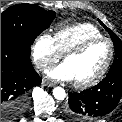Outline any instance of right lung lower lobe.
I'll return each mask as SVG.
<instances>
[{
  "instance_id": "98d812e1",
  "label": "right lung lower lobe",
  "mask_w": 122,
  "mask_h": 122,
  "mask_svg": "<svg viewBox=\"0 0 122 122\" xmlns=\"http://www.w3.org/2000/svg\"><path fill=\"white\" fill-rule=\"evenodd\" d=\"M30 53L23 42L1 37V122L16 121L25 112L30 89L41 84Z\"/></svg>"
}]
</instances>
